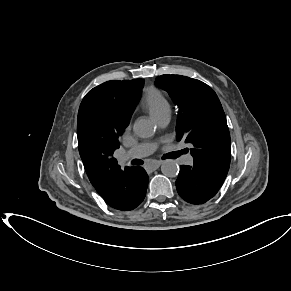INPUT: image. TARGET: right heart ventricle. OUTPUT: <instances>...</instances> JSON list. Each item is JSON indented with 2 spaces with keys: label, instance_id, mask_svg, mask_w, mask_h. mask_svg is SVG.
I'll use <instances>...</instances> for the list:
<instances>
[{
  "label": "right heart ventricle",
  "instance_id": "e07e8e85",
  "mask_svg": "<svg viewBox=\"0 0 291 291\" xmlns=\"http://www.w3.org/2000/svg\"><path fill=\"white\" fill-rule=\"evenodd\" d=\"M142 104L153 118L163 113L170 112L171 109L167 98L161 91L154 87H150L146 90Z\"/></svg>",
  "mask_w": 291,
  "mask_h": 291
}]
</instances>
